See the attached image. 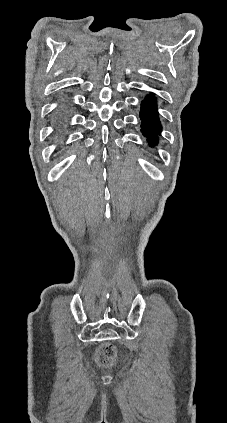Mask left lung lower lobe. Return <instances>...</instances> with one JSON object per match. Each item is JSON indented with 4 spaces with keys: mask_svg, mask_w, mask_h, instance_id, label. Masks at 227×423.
Returning <instances> with one entry per match:
<instances>
[{
    "mask_svg": "<svg viewBox=\"0 0 227 423\" xmlns=\"http://www.w3.org/2000/svg\"><path fill=\"white\" fill-rule=\"evenodd\" d=\"M140 119L143 135L148 138L150 146L155 145L161 131V126L156 108V98L153 94L147 96V98L142 102Z\"/></svg>",
    "mask_w": 227,
    "mask_h": 423,
    "instance_id": "left-lung-lower-lobe-1",
    "label": "left lung lower lobe"
}]
</instances>
